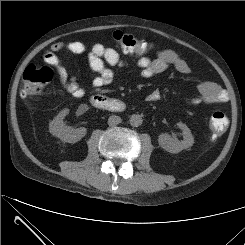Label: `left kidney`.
I'll return each mask as SVG.
<instances>
[{"mask_svg": "<svg viewBox=\"0 0 245 245\" xmlns=\"http://www.w3.org/2000/svg\"><path fill=\"white\" fill-rule=\"evenodd\" d=\"M177 126L183 132V140L179 141L176 137L168 134L159 136V144L163 149L170 153H179L184 149L190 148L194 144V137L187 125L179 122L177 123Z\"/></svg>", "mask_w": 245, "mask_h": 245, "instance_id": "left-kidney-1", "label": "left kidney"}]
</instances>
